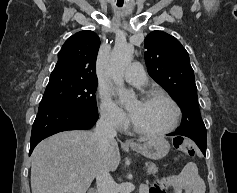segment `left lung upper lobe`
I'll return each instance as SVG.
<instances>
[{"instance_id": "5c2ea615", "label": "left lung upper lobe", "mask_w": 237, "mask_h": 193, "mask_svg": "<svg viewBox=\"0 0 237 193\" xmlns=\"http://www.w3.org/2000/svg\"><path fill=\"white\" fill-rule=\"evenodd\" d=\"M144 45L149 75L181 107L182 123L176 132L207 141L206 128L198 106L194 72L187 51L175 37L162 31L148 34Z\"/></svg>"}]
</instances>
